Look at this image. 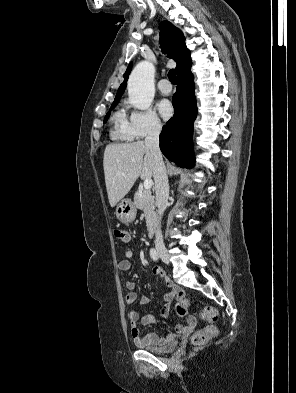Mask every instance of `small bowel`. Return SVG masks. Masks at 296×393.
<instances>
[{"mask_svg": "<svg viewBox=\"0 0 296 393\" xmlns=\"http://www.w3.org/2000/svg\"><path fill=\"white\" fill-rule=\"evenodd\" d=\"M134 258V253L132 251H126L124 257L118 262L117 267L122 272H128L132 266V259ZM153 273L159 277H162L166 281V286L169 288V292L164 296L163 307L161 310V316L167 317L170 314L171 303L174 299L186 300L184 291L173 285L168 277L165 275L164 271L155 267ZM126 288L128 292L124 297V301L127 305H133L137 301V294L135 293V283L127 282ZM150 298L143 296L139 299V304L144 305L150 303ZM128 319L131 327V335L135 344L139 347L142 346H161L165 345L175 339L177 335H185L191 333L195 330L197 326L196 317L193 315L188 316L186 324H179L175 327L174 332L167 333L165 336L160 337L156 333H148L142 336L140 333L139 324L141 325H151L155 323V318L153 315H145L140 318L139 314L135 311H130L128 313Z\"/></svg>", "mask_w": 296, "mask_h": 393, "instance_id": "obj_1", "label": "small bowel"}]
</instances>
